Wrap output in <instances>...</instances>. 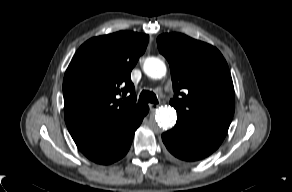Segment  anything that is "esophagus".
I'll return each mask as SVG.
<instances>
[{
  "mask_svg": "<svg viewBox=\"0 0 292 192\" xmlns=\"http://www.w3.org/2000/svg\"><path fill=\"white\" fill-rule=\"evenodd\" d=\"M159 107V104H149L150 111H155Z\"/></svg>",
  "mask_w": 292,
  "mask_h": 192,
  "instance_id": "obj_1",
  "label": "esophagus"
}]
</instances>
